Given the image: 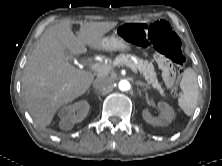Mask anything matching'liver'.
Instances as JSON below:
<instances>
[{
    "mask_svg": "<svg viewBox=\"0 0 222 166\" xmlns=\"http://www.w3.org/2000/svg\"><path fill=\"white\" fill-rule=\"evenodd\" d=\"M117 24L85 22L75 36L71 21L63 20L42 34L28 57L22 78L27 110L39 127H47L61 106L83 95L93 82L94 75L71 65L65 51L82 54L86 46L98 49L103 36Z\"/></svg>",
    "mask_w": 222,
    "mask_h": 166,
    "instance_id": "1",
    "label": "liver"
}]
</instances>
